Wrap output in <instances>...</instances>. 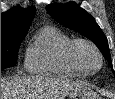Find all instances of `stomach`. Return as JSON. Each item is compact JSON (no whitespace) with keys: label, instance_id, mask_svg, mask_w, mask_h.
<instances>
[{"label":"stomach","instance_id":"obj_1","mask_svg":"<svg viewBox=\"0 0 115 99\" xmlns=\"http://www.w3.org/2000/svg\"><path fill=\"white\" fill-rule=\"evenodd\" d=\"M67 99H100L99 95L88 87L70 92Z\"/></svg>","mask_w":115,"mask_h":99}]
</instances>
